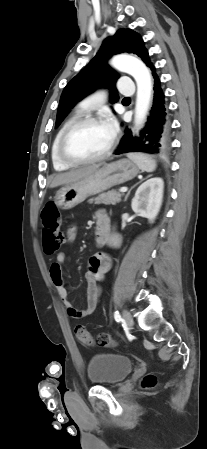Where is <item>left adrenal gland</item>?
<instances>
[{"instance_id":"a2214340","label":"left adrenal gland","mask_w":207,"mask_h":449,"mask_svg":"<svg viewBox=\"0 0 207 449\" xmlns=\"http://www.w3.org/2000/svg\"><path fill=\"white\" fill-rule=\"evenodd\" d=\"M150 176V175H149ZM148 176V177H149ZM140 182H138V183H136L134 186H132L131 187V189L127 192V194H126V196H125V198H124V201H126L127 200V198H128V196L130 195V192H131V190L136 186V185H138Z\"/></svg>"}]
</instances>
